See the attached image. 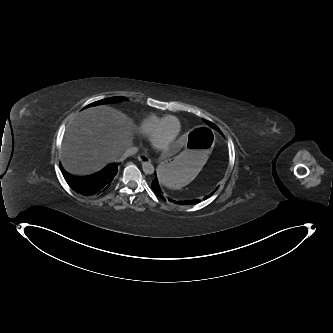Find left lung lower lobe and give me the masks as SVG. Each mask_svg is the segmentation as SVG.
Here are the masks:
<instances>
[{"instance_id": "0a47b994", "label": "left lung lower lobe", "mask_w": 333, "mask_h": 333, "mask_svg": "<svg viewBox=\"0 0 333 333\" xmlns=\"http://www.w3.org/2000/svg\"><path fill=\"white\" fill-rule=\"evenodd\" d=\"M156 175V174H155ZM152 189L153 191L156 193V195H158L159 197L163 198L166 196L165 191L163 190V188L161 187V185L159 184L157 177L155 178L154 181H152ZM214 192H212L209 196H211ZM208 196V197H209ZM168 200H171L170 198H168ZM196 200H191V201H183V202H179V204L181 205H190V204H194L196 203Z\"/></svg>"}]
</instances>
